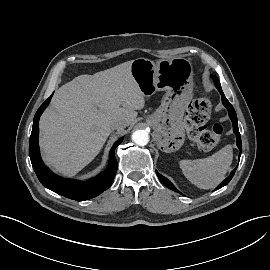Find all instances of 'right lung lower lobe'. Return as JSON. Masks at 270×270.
I'll list each match as a JSON object with an SVG mask.
<instances>
[{
	"instance_id": "right-lung-lower-lobe-1",
	"label": "right lung lower lobe",
	"mask_w": 270,
	"mask_h": 270,
	"mask_svg": "<svg viewBox=\"0 0 270 270\" xmlns=\"http://www.w3.org/2000/svg\"><path fill=\"white\" fill-rule=\"evenodd\" d=\"M52 95L37 110L33 128L29 141V155L33 169L43 186L63 195L67 198L84 201L101 194L109 188L117 172V161L115 158V149L122 142L119 139L112 147L109 155V165L99 175L87 182H80L72 179H64L51 172L43 163L38 145L39 136V119L45 108L48 106Z\"/></svg>"
}]
</instances>
